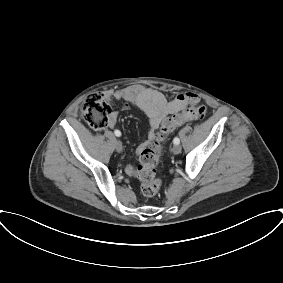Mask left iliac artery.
I'll use <instances>...</instances> for the list:
<instances>
[{
    "label": "left iliac artery",
    "instance_id": "44dca946",
    "mask_svg": "<svg viewBox=\"0 0 283 283\" xmlns=\"http://www.w3.org/2000/svg\"><path fill=\"white\" fill-rule=\"evenodd\" d=\"M173 143H174V144H179V143H180L179 138L175 137L174 140H173Z\"/></svg>",
    "mask_w": 283,
    "mask_h": 283
}]
</instances>
